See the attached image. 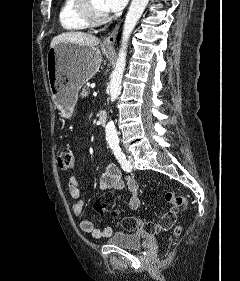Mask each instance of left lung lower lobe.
Here are the masks:
<instances>
[{"label":"left lung lower lobe","mask_w":240,"mask_h":281,"mask_svg":"<svg viewBox=\"0 0 240 281\" xmlns=\"http://www.w3.org/2000/svg\"><path fill=\"white\" fill-rule=\"evenodd\" d=\"M118 40L120 39V35H118V38H117Z\"/></svg>","instance_id":"0a47b994"}]
</instances>
